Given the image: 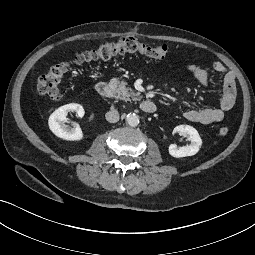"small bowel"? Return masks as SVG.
Instances as JSON below:
<instances>
[{
  "label": "small bowel",
  "mask_w": 255,
  "mask_h": 255,
  "mask_svg": "<svg viewBox=\"0 0 255 255\" xmlns=\"http://www.w3.org/2000/svg\"><path fill=\"white\" fill-rule=\"evenodd\" d=\"M213 69L223 76V92L220 96L219 107H208L202 109H193L184 112V117L192 122L200 124H211L220 122L225 115L229 113L235 104L236 87L234 74L221 62L215 61ZM188 71L204 86L210 83L208 72L196 64H189Z\"/></svg>",
  "instance_id": "1"
}]
</instances>
